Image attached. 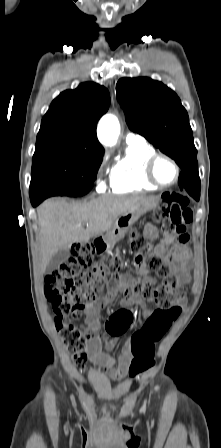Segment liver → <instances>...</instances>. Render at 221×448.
I'll use <instances>...</instances> for the list:
<instances>
[{
	"mask_svg": "<svg viewBox=\"0 0 221 448\" xmlns=\"http://www.w3.org/2000/svg\"><path fill=\"white\" fill-rule=\"evenodd\" d=\"M153 197L104 195L87 203L49 199L37 209L41 268L63 247L86 243L111 229L115 221ZM86 225V228H84Z\"/></svg>",
	"mask_w": 221,
	"mask_h": 448,
	"instance_id": "1",
	"label": "liver"
}]
</instances>
